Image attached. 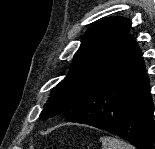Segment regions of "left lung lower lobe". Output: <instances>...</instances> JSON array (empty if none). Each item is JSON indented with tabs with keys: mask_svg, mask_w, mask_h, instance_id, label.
I'll return each instance as SVG.
<instances>
[{
	"mask_svg": "<svg viewBox=\"0 0 155 149\" xmlns=\"http://www.w3.org/2000/svg\"><path fill=\"white\" fill-rule=\"evenodd\" d=\"M141 51L129 36L111 67L64 119L111 132L137 149H153L155 126Z\"/></svg>",
	"mask_w": 155,
	"mask_h": 149,
	"instance_id": "1",
	"label": "left lung lower lobe"
}]
</instances>
